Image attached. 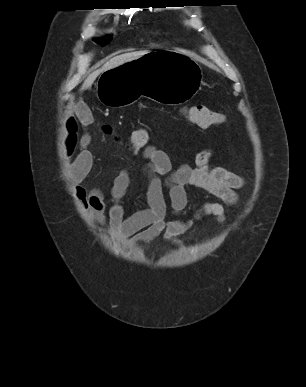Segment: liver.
I'll list each match as a JSON object with an SVG mask.
<instances>
[{
	"label": "liver",
	"mask_w": 306,
	"mask_h": 387,
	"mask_svg": "<svg viewBox=\"0 0 306 387\" xmlns=\"http://www.w3.org/2000/svg\"><path fill=\"white\" fill-rule=\"evenodd\" d=\"M149 51H138V52H131V53H124L121 55H117L113 58H111L109 61H107L103 67L99 70L94 71L91 73L87 79L84 81L81 90H85L91 87L97 76L104 71H108L110 69H113L115 67H118L122 64L131 62L133 60H137L138 58L148 54Z\"/></svg>",
	"instance_id": "liver-1"
}]
</instances>
